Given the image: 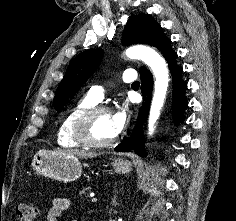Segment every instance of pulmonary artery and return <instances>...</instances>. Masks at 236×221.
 Masks as SVG:
<instances>
[{
	"mask_svg": "<svg viewBox=\"0 0 236 221\" xmlns=\"http://www.w3.org/2000/svg\"><path fill=\"white\" fill-rule=\"evenodd\" d=\"M121 80L125 83H130L136 80V74L134 70H125L121 75ZM105 87L102 85L92 86L88 92L91 99L97 103L103 99Z\"/></svg>",
	"mask_w": 236,
	"mask_h": 221,
	"instance_id": "pulmonary-artery-1",
	"label": "pulmonary artery"
}]
</instances>
